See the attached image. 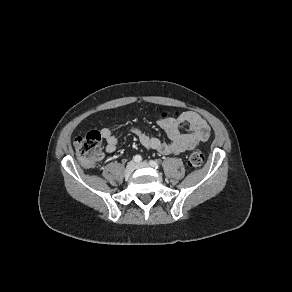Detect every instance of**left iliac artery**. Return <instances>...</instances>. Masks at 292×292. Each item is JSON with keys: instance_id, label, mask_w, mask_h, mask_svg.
Listing matches in <instances>:
<instances>
[{"instance_id": "44dca946", "label": "left iliac artery", "mask_w": 292, "mask_h": 292, "mask_svg": "<svg viewBox=\"0 0 292 292\" xmlns=\"http://www.w3.org/2000/svg\"><path fill=\"white\" fill-rule=\"evenodd\" d=\"M149 164H150V166L154 167L155 169L159 168V164L154 160H150Z\"/></svg>"}]
</instances>
